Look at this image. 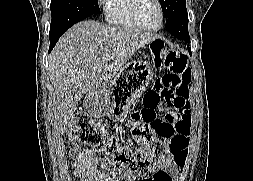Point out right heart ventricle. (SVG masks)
Instances as JSON below:
<instances>
[{
  "instance_id": "e07e8e85",
  "label": "right heart ventricle",
  "mask_w": 253,
  "mask_h": 181,
  "mask_svg": "<svg viewBox=\"0 0 253 181\" xmlns=\"http://www.w3.org/2000/svg\"><path fill=\"white\" fill-rule=\"evenodd\" d=\"M104 19L118 28L135 30L137 25L130 15V0H101Z\"/></svg>"
}]
</instances>
